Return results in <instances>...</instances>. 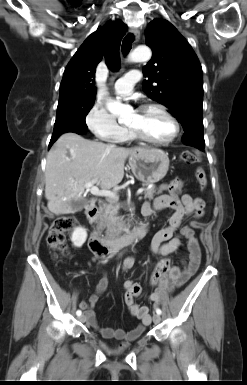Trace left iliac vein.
Wrapping results in <instances>:
<instances>
[{
  "mask_svg": "<svg viewBox=\"0 0 247 385\" xmlns=\"http://www.w3.org/2000/svg\"><path fill=\"white\" fill-rule=\"evenodd\" d=\"M160 321H161L160 315H159V314H154V315H153V322H154L155 324H158V323H160Z\"/></svg>",
  "mask_w": 247,
  "mask_h": 385,
  "instance_id": "obj_1",
  "label": "left iliac vein"
}]
</instances>
